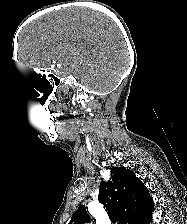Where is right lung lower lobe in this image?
Here are the masks:
<instances>
[{"label":"right lung lower lobe","instance_id":"98d812e1","mask_svg":"<svg viewBox=\"0 0 187 224\" xmlns=\"http://www.w3.org/2000/svg\"><path fill=\"white\" fill-rule=\"evenodd\" d=\"M151 217H152V211L140 219H138L134 224H150L151 222Z\"/></svg>","mask_w":187,"mask_h":224}]
</instances>
